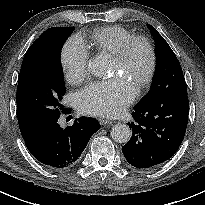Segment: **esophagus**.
Here are the masks:
<instances>
[{
    "instance_id": "1",
    "label": "esophagus",
    "mask_w": 205,
    "mask_h": 205,
    "mask_svg": "<svg viewBox=\"0 0 205 205\" xmlns=\"http://www.w3.org/2000/svg\"><path fill=\"white\" fill-rule=\"evenodd\" d=\"M98 122H99V124L102 125V126H106V125H108V124H112V123H113L112 121L107 120V119H104V118H99V119H98Z\"/></svg>"
}]
</instances>
